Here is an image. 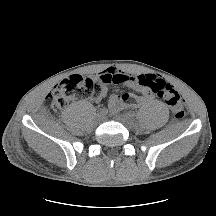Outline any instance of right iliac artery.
Listing matches in <instances>:
<instances>
[{
    "label": "right iliac artery",
    "mask_w": 216,
    "mask_h": 216,
    "mask_svg": "<svg viewBox=\"0 0 216 216\" xmlns=\"http://www.w3.org/2000/svg\"><path fill=\"white\" fill-rule=\"evenodd\" d=\"M99 113L102 114V115H107L108 110L106 108H102V109H100Z\"/></svg>",
    "instance_id": "obj_1"
}]
</instances>
